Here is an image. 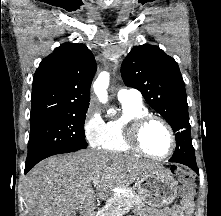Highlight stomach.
I'll use <instances>...</instances> for the list:
<instances>
[{"instance_id":"0dacf381","label":"stomach","mask_w":221,"mask_h":216,"mask_svg":"<svg viewBox=\"0 0 221 216\" xmlns=\"http://www.w3.org/2000/svg\"><path fill=\"white\" fill-rule=\"evenodd\" d=\"M137 190L141 201L140 205L161 208L174 201L178 183L168 169L161 167L139 177Z\"/></svg>"}]
</instances>
